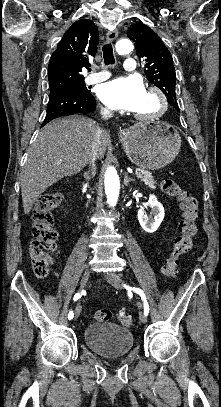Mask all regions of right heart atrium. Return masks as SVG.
<instances>
[{
  "mask_svg": "<svg viewBox=\"0 0 221 407\" xmlns=\"http://www.w3.org/2000/svg\"><path fill=\"white\" fill-rule=\"evenodd\" d=\"M102 109H103V111H105V112H108V111H109V109H108L107 107H103Z\"/></svg>",
  "mask_w": 221,
  "mask_h": 407,
  "instance_id": "obj_1",
  "label": "right heart atrium"
}]
</instances>
